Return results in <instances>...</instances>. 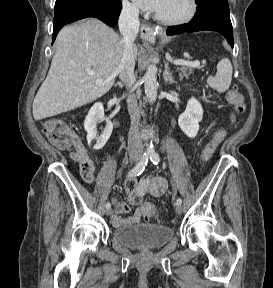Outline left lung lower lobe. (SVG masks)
<instances>
[{"instance_id": "1", "label": "left lung lower lobe", "mask_w": 273, "mask_h": 288, "mask_svg": "<svg viewBox=\"0 0 273 288\" xmlns=\"http://www.w3.org/2000/svg\"><path fill=\"white\" fill-rule=\"evenodd\" d=\"M197 5L196 13L189 23L171 26L166 30V34L175 35L201 30L216 31L221 33L233 47V27L228 0H201L197 2Z\"/></svg>"}]
</instances>
